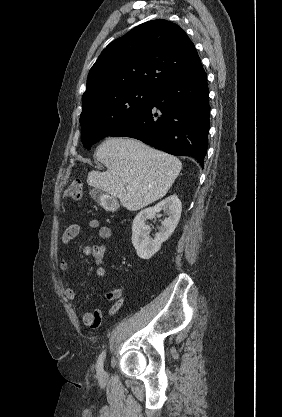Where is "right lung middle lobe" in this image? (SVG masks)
Instances as JSON below:
<instances>
[{
    "mask_svg": "<svg viewBox=\"0 0 282 417\" xmlns=\"http://www.w3.org/2000/svg\"><path fill=\"white\" fill-rule=\"evenodd\" d=\"M155 91L133 87L83 100L80 124L84 147L90 150L93 144L118 130L150 102Z\"/></svg>",
    "mask_w": 282,
    "mask_h": 417,
    "instance_id": "dd1d6c3e",
    "label": "right lung middle lobe"
}]
</instances>
